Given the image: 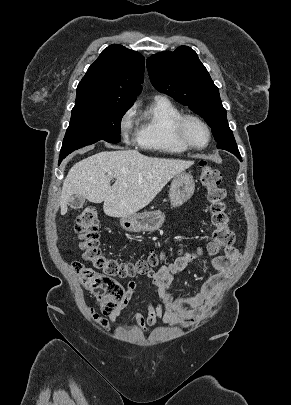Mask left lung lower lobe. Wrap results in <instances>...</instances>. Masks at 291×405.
<instances>
[{"label":"left lung lower lobe","mask_w":291,"mask_h":405,"mask_svg":"<svg viewBox=\"0 0 291 405\" xmlns=\"http://www.w3.org/2000/svg\"><path fill=\"white\" fill-rule=\"evenodd\" d=\"M237 157L241 160V156L239 154H237Z\"/></svg>","instance_id":"1"}]
</instances>
